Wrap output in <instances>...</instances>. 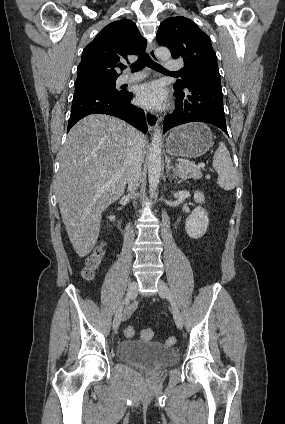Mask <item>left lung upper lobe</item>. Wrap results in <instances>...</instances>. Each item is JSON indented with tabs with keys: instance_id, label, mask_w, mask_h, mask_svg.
Returning <instances> with one entry per match:
<instances>
[{
	"instance_id": "left-lung-upper-lobe-1",
	"label": "left lung upper lobe",
	"mask_w": 285,
	"mask_h": 424,
	"mask_svg": "<svg viewBox=\"0 0 285 424\" xmlns=\"http://www.w3.org/2000/svg\"><path fill=\"white\" fill-rule=\"evenodd\" d=\"M159 45L169 48L174 59L184 60L182 80L174 87L184 89L197 79H220L217 57L210 38L192 20L177 16L165 19L157 32Z\"/></svg>"
}]
</instances>
